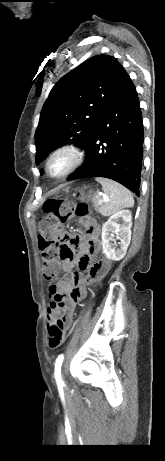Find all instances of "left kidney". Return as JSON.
<instances>
[{
  "label": "left kidney",
  "instance_id": "left-kidney-1",
  "mask_svg": "<svg viewBox=\"0 0 165 461\" xmlns=\"http://www.w3.org/2000/svg\"><path fill=\"white\" fill-rule=\"evenodd\" d=\"M120 221L122 222L120 224ZM132 214L130 210H121L109 217L102 227V248L106 257L113 261L124 258L131 240ZM116 239L120 240L116 249ZM114 241V243H112Z\"/></svg>",
  "mask_w": 165,
  "mask_h": 461
}]
</instances>
